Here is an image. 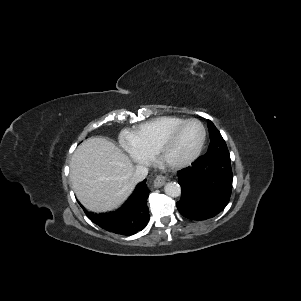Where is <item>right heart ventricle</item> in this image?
I'll use <instances>...</instances> for the list:
<instances>
[{
	"label": "right heart ventricle",
	"instance_id": "obj_1",
	"mask_svg": "<svg viewBox=\"0 0 301 301\" xmlns=\"http://www.w3.org/2000/svg\"><path fill=\"white\" fill-rule=\"evenodd\" d=\"M184 120L176 116L154 118L128 131L127 137L140 151L151 156L156 153L160 139Z\"/></svg>",
	"mask_w": 301,
	"mask_h": 301
}]
</instances>
